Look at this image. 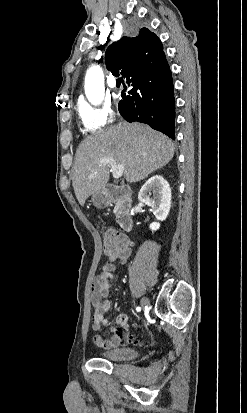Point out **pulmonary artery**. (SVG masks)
<instances>
[{
  "instance_id": "1",
  "label": "pulmonary artery",
  "mask_w": 247,
  "mask_h": 413,
  "mask_svg": "<svg viewBox=\"0 0 247 413\" xmlns=\"http://www.w3.org/2000/svg\"><path fill=\"white\" fill-rule=\"evenodd\" d=\"M107 83H108V85L111 89H116L117 88V81H116L114 76H110L108 78Z\"/></svg>"
}]
</instances>
